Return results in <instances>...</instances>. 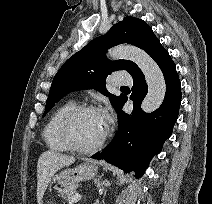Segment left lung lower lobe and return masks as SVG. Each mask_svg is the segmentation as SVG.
I'll return each instance as SVG.
<instances>
[{
    "instance_id": "obj_1",
    "label": "left lung lower lobe",
    "mask_w": 212,
    "mask_h": 204,
    "mask_svg": "<svg viewBox=\"0 0 212 204\" xmlns=\"http://www.w3.org/2000/svg\"><path fill=\"white\" fill-rule=\"evenodd\" d=\"M153 59L161 68L166 82L162 105L152 113L142 111L141 102L147 94L145 77L141 71L132 76L134 82L130 99L134 101L133 112L129 115L122 111L126 97L117 109L119 130L115 138L103 152L92 156L128 172L135 171L138 177L143 175L150 159L161 151L164 141L171 136L181 103L180 80L168 51L162 49Z\"/></svg>"
}]
</instances>
